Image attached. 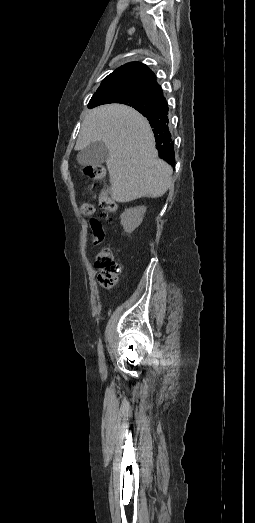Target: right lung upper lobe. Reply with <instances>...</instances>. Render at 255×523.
Instances as JSON below:
<instances>
[{"label":"right lung upper lobe","instance_id":"cb5924a9","mask_svg":"<svg viewBox=\"0 0 255 523\" xmlns=\"http://www.w3.org/2000/svg\"><path fill=\"white\" fill-rule=\"evenodd\" d=\"M129 89H139L147 94L143 102H128V104L145 116L155 135L156 148L159 156L175 166L174 147L168 128V104L163 96L155 74L143 63H127L108 75L97 89L89 102V108L98 105L115 103L105 95ZM118 103V102H116Z\"/></svg>","mask_w":255,"mask_h":523}]
</instances>
